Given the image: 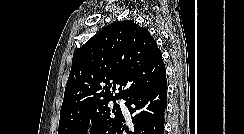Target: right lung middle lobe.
Returning <instances> with one entry per match:
<instances>
[{"label": "right lung middle lobe", "mask_w": 244, "mask_h": 134, "mask_svg": "<svg viewBox=\"0 0 244 134\" xmlns=\"http://www.w3.org/2000/svg\"><path fill=\"white\" fill-rule=\"evenodd\" d=\"M115 100L99 103L77 116L61 119L58 134H86L90 122L92 123L91 134H105L121 114L118 104L110 105V101Z\"/></svg>", "instance_id": "right-lung-middle-lobe-1"}]
</instances>
